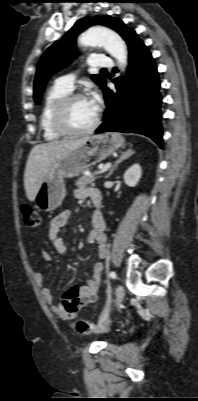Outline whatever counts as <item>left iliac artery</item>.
<instances>
[{"label": "left iliac artery", "mask_w": 198, "mask_h": 401, "mask_svg": "<svg viewBox=\"0 0 198 401\" xmlns=\"http://www.w3.org/2000/svg\"><path fill=\"white\" fill-rule=\"evenodd\" d=\"M109 276H110L111 278L115 279V278H116V273H115L114 271H111L110 274H109Z\"/></svg>", "instance_id": "left-iliac-artery-1"}]
</instances>
